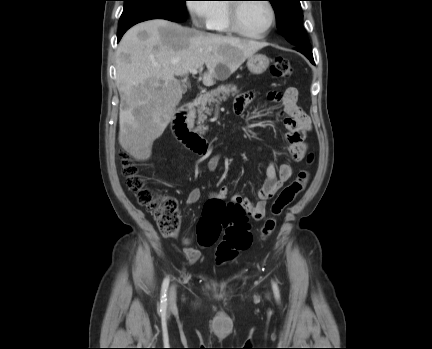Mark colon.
<instances>
[{
	"label": "colon",
	"mask_w": 432,
	"mask_h": 349,
	"mask_svg": "<svg viewBox=\"0 0 432 349\" xmlns=\"http://www.w3.org/2000/svg\"><path fill=\"white\" fill-rule=\"evenodd\" d=\"M271 74L277 78H288L292 67L287 59L276 58L270 67ZM313 159L309 155L308 162ZM122 173L129 190L133 191L138 202L145 206L155 217L160 232L165 236L175 235L180 227V211L176 198L161 196L145 185L138 167L126 152L120 153ZM309 172L301 170L297 177L277 196L271 207V216L266 220L261 234L269 237L276 226V217L305 189ZM248 215L239 203L209 200L197 226L198 242L203 247L213 245L223 234L216 250V260L224 263L233 260L240 251L246 250L252 242Z\"/></svg>",
	"instance_id": "5ec220e1"
}]
</instances>
